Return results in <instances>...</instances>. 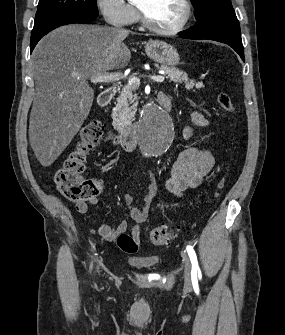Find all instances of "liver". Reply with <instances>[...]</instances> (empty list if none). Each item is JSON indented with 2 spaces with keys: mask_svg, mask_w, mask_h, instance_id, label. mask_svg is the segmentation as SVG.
Returning a JSON list of instances; mask_svg holds the SVG:
<instances>
[{
  "mask_svg": "<svg viewBox=\"0 0 285 335\" xmlns=\"http://www.w3.org/2000/svg\"><path fill=\"white\" fill-rule=\"evenodd\" d=\"M125 38L117 28L70 24L37 44L31 60L36 94L29 142L41 166L57 160L88 118L94 90L87 80L130 62Z\"/></svg>",
  "mask_w": 285,
  "mask_h": 335,
  "instance_id": "1",
  "label": "liver"
}]
</instances>
